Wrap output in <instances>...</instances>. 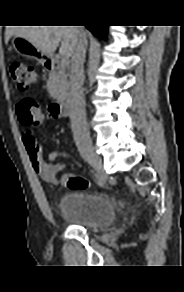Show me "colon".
<instances>
[{
  "label": "colon",
  "mask_w": 184,
  "mask_h": 292,
  "mask_svg": "<svg viewBox=\"0 0 184 292\" xmlns=\"http://www.w3.org/2000/svg\"><path fill=\"white\" fill-rule=\"evenodd\" d=\"M11 76L16 83V87L21 92H27L36 80L35 69L21 61H15L10 66ZM17 116L20 123L26 127H37L42 123L43 114L37 103L24 98L17 104ZM65 185L71 190L86 189L90 187V182L75 174L67 175Z\"/></svg>",
  "instance_id": "5ec220e1"
}]
</instances>
